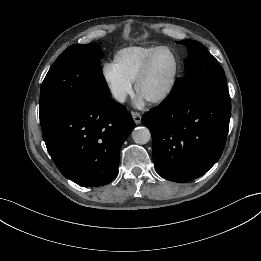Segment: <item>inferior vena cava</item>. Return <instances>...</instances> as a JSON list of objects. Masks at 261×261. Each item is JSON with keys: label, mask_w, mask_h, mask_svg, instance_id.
I'll use <instances>...</instances> for the list:
<instances>
[{"label": "inferior vena cava", "mask_w": 261, "mask_h": 261, "mask_svg": "<svg viewBox=\"0 0 261 261\" xmlns=\"http://www.w3.org/2000/svg\"><path fill=\"white\" fill-rule=\"evenodd\" d=\"M113 96L119 102H124L126 98V93L123 91H114Z\"/></svg>", "instance_id": "1"}]
</instances>
